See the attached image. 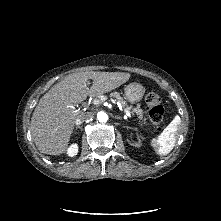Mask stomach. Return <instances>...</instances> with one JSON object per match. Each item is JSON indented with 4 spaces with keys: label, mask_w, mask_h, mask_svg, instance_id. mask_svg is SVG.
Here are the masks:
<instances>
[{
    "label": "stomach",
    "mask_w": 221,
    "mask_h": 221,
    "mask_svg": "<svg viewBox=\"0 0 221 221\" xmlns=\"http://www.w3.org/2000/svg\"><path fill=\"white\" fill-rule=\"evenodd\" d=\"M125 91V99L130 103L139 102L145 93L144 87L136 82L130 83L124 89Z\"/></svg>",
    "instance_id": "1"
}]
</instances>
